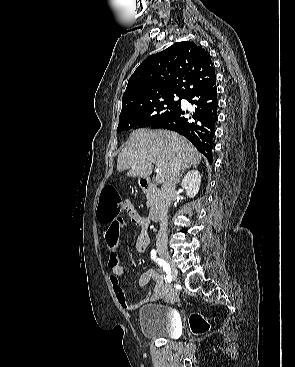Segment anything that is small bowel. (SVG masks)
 Listing matches in <instances>:
<instances>
[{
  "label": "small bowel",
  "mask_w": 295,
  "mask_h": 367,
  "mask_svg": "<svg viewBox=\"0 0 295 367\" xmlns=\"http://www.w3.org/2000/svg\"><path fill=\"white\" fill-rule=\"evenodd\" d=\"M124 209L128 215L129 222L140 228L135 239V249L137 252L142 253L147 249L150 243V220L147 217L141 216L129 200L124 201ZM124 224L125 220L123 218H117L116 220L105 223L106 227L103 231V238L109 251L108 267L111 270L109 279L116 299L124 310L133 311L148 301L153 302L170 298L171 294L161 273L156 269H148L139 277L138 287L143 288L150 281H153V289L140 301L136 303L128 302L119 281V277L124 271L122 257L119 252V234Z\"/></svg>",
  "instance_id": "c3829d8e"
}]
</instances>
